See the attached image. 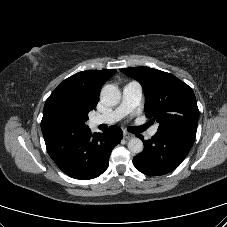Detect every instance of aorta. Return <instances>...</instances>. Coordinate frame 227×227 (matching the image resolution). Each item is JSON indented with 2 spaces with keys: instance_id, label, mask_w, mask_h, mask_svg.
Listing matches in <instances>:
<instances>
[{
  "instance_id": "obj_1",
  "label": "aorta",
  "mask_w": 227,
  "mask_h": 227,
  "mask_svg": "<svg viewBox=\"0 0 227 227\" xmlns=\"http://www.w3.org/2000/svg\"><path fill=\"white\" fill-rule=\"evenodd\" d=\"M100 98L104 105L115 106L120 102L121 93L117 86L108 84L102 88ZM128 149L134 154L141 153L143 151L142 140L137 137L130 139Z\"/></svg>"
}]
</instances>
